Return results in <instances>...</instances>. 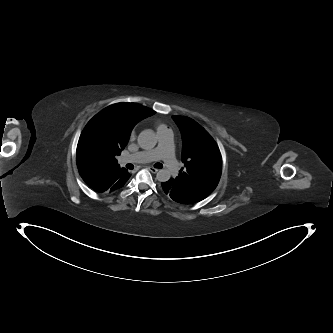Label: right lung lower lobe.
<instances>
[{
  "mask_svg": "<svg viewBox=\"0 0 333 333\" xmlns=\"http://www.w3.org/2000/svg\"><path fill=\"white\" fill-rule=\"evenodd\" d=\"M80 175L84 182L98 193H111L122 188L131 176L125 168L104 177L98 176L96 171L82 172Z\"/></svg>",
  "mask_w": 333,
  "mask_h": 333,
  "instance_id": "obj_1",
  "label": "right lung lower lobe"
}]
</instances>
